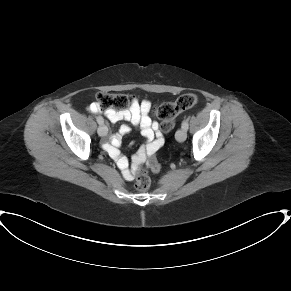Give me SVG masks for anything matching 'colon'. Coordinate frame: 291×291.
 <instances>
[{
	"label": "colon",
	"mask_w": 291,
	"mask_h": 291,
	"mask_svg": "<svg viewBox=\"0 0 291 291\" xmlns=\"http://www.w3.org/2000/svg\"><path fill=\"white\" fill-rule=\"evenodd\" d=\"M97 104L101 111L108 109H124L132 104L130 96L122 93L99 92L96 96ZM197 103V97L194 94H184L178 97L174 102H165L157 109V115L161 120V130L164 133H169L174 127L175 117L182 111L193 107ZM158 144H154L151 155L158 150ZM137 170L135 188L140 191H145L150 187L151 179L148 176L145 168L142 166V161L139 158L134 159ZM153 171L159 172L160 166L155 162H151Z\"/></svg>",
	"instance_id": "obj_1"
}]
</instances>
